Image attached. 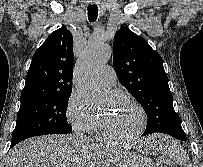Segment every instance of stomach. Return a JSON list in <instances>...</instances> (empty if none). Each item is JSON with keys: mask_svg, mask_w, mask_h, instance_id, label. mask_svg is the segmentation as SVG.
I'll return each instance as SVG.
<instances>
[{"mask_svg": "<svg viewBox=\"0 0 203 167\" xmlns=\"http://www.w3.org/2000/svg\"><path fill=\"white\" fill-rule=\"evenodd\" d=\"M145 152H149L148 149H145ZM116 167H155L153 162L139 154H127L125 158L120 160Z\"/></svg>", "mask_w": 203, "mask_h": 167, "instance_id": "1", "label": "stomach"}]
</instances>
